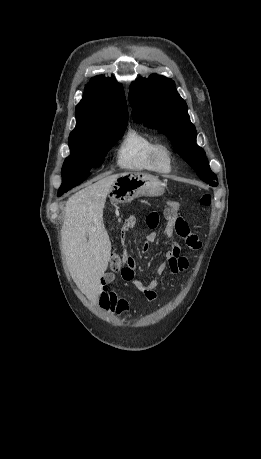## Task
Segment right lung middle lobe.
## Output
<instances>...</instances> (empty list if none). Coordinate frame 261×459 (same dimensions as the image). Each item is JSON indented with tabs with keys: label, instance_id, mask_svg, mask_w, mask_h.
<instances>
[{
	"label": "right lung middle lobe",
	"instance_id": "obj_1",
	"mask_svg": "<svg viewBox=\"0 0 261 459\" xmlns=\"http://www.w3.org/2000/svg\"><path fill=\"white\" fill-rule=\"evenodd\" d=\"M127 123L80 132L69 137L71 155L62 167L58 196L82 183L89 170L100 166L110 148L122 137Z\"/></svg>",
	"mask_w": 261,
	"mask_h": 459
}]
</instances>
